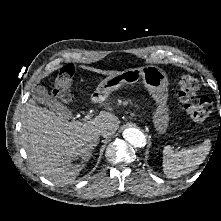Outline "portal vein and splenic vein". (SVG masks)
Returning a JSON list of instances; mask_svg holds the SVG:
<instances>
[{
  "instance_id": "portal-vein-and-splenic-vein-1",
  "label": "portal vein and splenic vein",
  "mask_w": 221,
  "mask_h": 221,
  "mask_svg": "<svg viewBox=\"0 0 221 221\" xmlns=\"http://www.w3.org/2000/svg\"><path fill=\"white\" fill-rule=\"evenodd\" d=\"M90 118H91V115H86V116H85V119H86V120H88V119H90Z\"/></svg>"
}]
</instances>
